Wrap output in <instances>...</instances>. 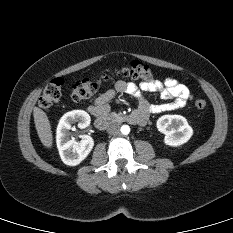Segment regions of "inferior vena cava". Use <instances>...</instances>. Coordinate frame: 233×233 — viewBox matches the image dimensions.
I'll use <instances>...</instances> for the list:
<instances>
[{
    "mask_svg": "<svg viewBox=\"0 0 233 233\" xmlns=\"http://www.w3.org/2000/svg\"><path fill=\"white\" fill-rule=\"evenodd\" d=\"M120 127L118 124H111L108 128H107V132L110 135H115L117 133H119Z\"/></svg>",
    "mask_w": 233,
    "mask_h": 233,
    "instance_id": "inferior-vena-cava-1",
    "label": "inferior vena cava"
}]
</instances>
